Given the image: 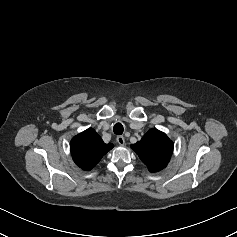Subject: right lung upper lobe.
<instances>
[{
  "instance_id": "right-lung-upper-lobe-1",
  "label": "right lung upper lobe",
  "mask_w": 237,
  "mask_h": 237,
  "mask_svg": "<svg viewBox=\"0 0 237 237\" xmlns=\"http://www.w3.org/2000/svg\"><path fill=\"white\" fill-rule=\"evenodd\" d=\"M112 148L113 144H105L92 128L73 137L70 143V150L75 164L85 171L95 167Z\"/></svg>"
}]
</instances>
